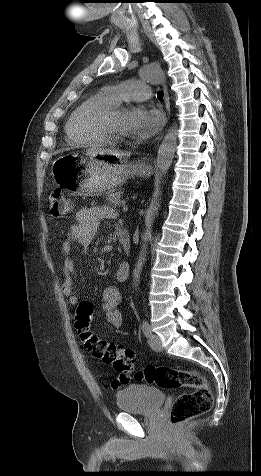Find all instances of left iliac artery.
Returning <instances> with one entry per match:
<instances>
[{"mask_svg": "<svg viewBox=\"0 0 261 476\" xmlns=\"http://www.w3.org/2000/svg\"><path fill=\"white\" fill-rule=\"evenodd\" d=\"M142 331H143L145 336H148L151 332L150 325L146 320H143V322H142Z\"/></svg>", "mask_w": 261, "mask_h": 476, "instance_id": "obj_1", "label": "left iliac artery"}]
</instances>
